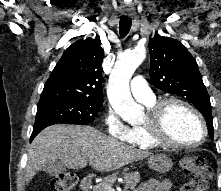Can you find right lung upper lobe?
I'll return each instance as SVG.
<instances>
[{
	"label": "right lung upper lobe",
	"instance_id": "obj_1",
	"mask_svg": "<svg viewBox=\"0 0 221 191\" xmlns=\"http://www.w3.org/2000/svg\"><path fill=\"white\" fill-rule=\"evenodd\" d=\"M104 50L97 39L73 43L46 81L39 103L70 99L103 100L101 62Z\"/></svg>",
	"mask_w": 221,
	"mask_h": 191
}]
</instances>
